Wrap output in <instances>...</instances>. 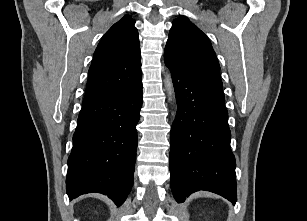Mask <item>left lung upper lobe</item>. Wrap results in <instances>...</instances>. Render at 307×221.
I'll list each match as a JSON object with an SVG mask.
<instances>
[{"instance_id": "5c2ea615", "label": "left lung upper lobe", "mask_w": 307, "mask_h": 221, "mask_svg": "<svg viewBox=\"0 0 307 221\" xmlns=\"http://www.w3.org/2000/svg\"><path fill=\"white\" fill-rule=\"evenodd\" d=\"M164 58L205 88L224 97L220 66L208 37L187 17L172 23Z\"/></svg>"}]
</instances>
